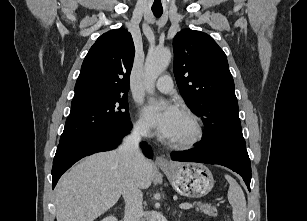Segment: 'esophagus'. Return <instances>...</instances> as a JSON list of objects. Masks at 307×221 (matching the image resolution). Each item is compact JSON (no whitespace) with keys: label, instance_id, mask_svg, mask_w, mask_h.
I'll return each instance as SVG.
<instances>
[{"label":"esophagus","instance_id":"1","mask_svg":"<svg viewBox=\"0 0 307 221\" xmlns=\"http://www.w3.org/2000/svg\"><path fill=\"white\" fill-rule=\"evenodd\" d=\"M156 164L160 168H166V167H170L171 166V164L168 161V159L163 157V156H156Z\"/></svg>","mask_w":307,"mask_h":221}]
</instances>
